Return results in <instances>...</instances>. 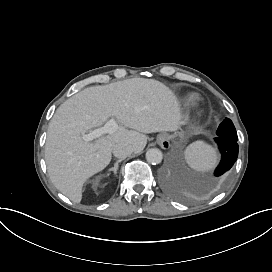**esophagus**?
Instances as JSON below:
<instances>
[{"label": "esophagus", "mask_w": 272, "mask_h": 272, "mask_svg": "<svg viewBox=\"0 0 272 272\" xmlns=\"http://www.w3.org/2000/svg\"><path fill=\"white\" fill-rule=\"evenodd\" d=\"M158 144L163 148V149H168L170 147V142L167 139L166 136H163L160 138Z\"/></svg>", "instance_id": "obj_1"}]
</instances>
